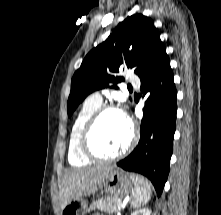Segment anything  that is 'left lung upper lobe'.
Masks as SVG:
<instances>
[{
	"label": "left lung upper lobe",
	"mask_w": 221,
	"mask_h": 215,
	"mask_svg": "<svg viewBox=\"0 0 221 215\" xmlns=\"http://www.w3.org/2000/svg\"><path fill=\"white\" fill-rule=\"evenodd\" d=\"M152 19L134 14L119 23L110 36L84 58L71 81L67 102L70 117L77 106L93 91L112 86L124 79L119 70L133 69L139 77L164 48Z\"/></svg>",
	"instance_id": "obj_1"
}]
</instances>
